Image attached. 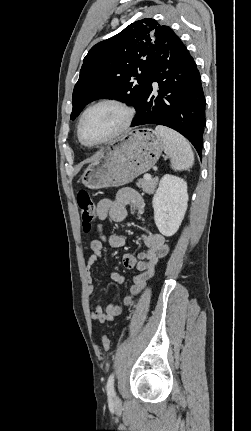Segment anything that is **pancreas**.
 <instances>
[{
	"mask_svg": "<svg viewBox=\"0 0 251 431\" xmlns=\"http://www.w3.org/2000/svg\"><path fill=\"white\" fill-rule=\"evenodd\" d=\"M157 183H158L157 178H153L150 180H146L145 178H143V179H138L137 186L141 188L144 192L148 194H153L157 186Z\"/></svg>",
	"mask_w": 251,
	"mask_h": 431,
	"instance_id": "cf45deb5",
	"label": "pancreas"
}]
</instances>
